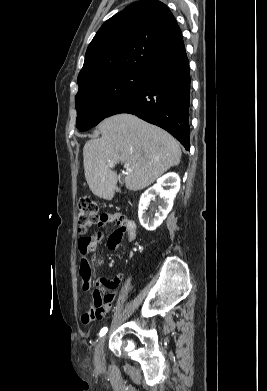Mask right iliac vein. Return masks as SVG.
Masks as SVG:
<instances>
[{"label": "right iliac vein", "mask_w": 267, "mask_h": 391, "mask_svg": "<svg viewBox=\"0 0 267 391\" xmlns=\"http://www.w3.org/2000/svg\"><path fill=\"white\" fill-rule=\"evenodd\" d=\"M106 337L103 336L97 343L94 353V360L97 366H102L104 363V345Z\"/></svg>", "instance_id": "right-iliac-vein-1"}]
</instances>
